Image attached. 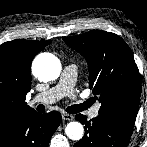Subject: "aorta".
Returning <instances> with one entry per match:
<instances>
[{
  "instance_id": "1",
  "label": "aorta",
  "mask_w": 147,
  "mask_h": 147,
  "mask_svg": "<svg viewBox=\"0 0 147 147\" xmlns=\"http://www.w3.org/2000/svg\"><path fill=\"white\" fill-rule=\"evenodd\" d=\"M61 71L60 60L50 53L39 54L32 63V73L40 81H52L59 77ZM65 133L71 140H80L84 128L79 122H70L65 128Z\"/></svg>"
}]
</instances>
